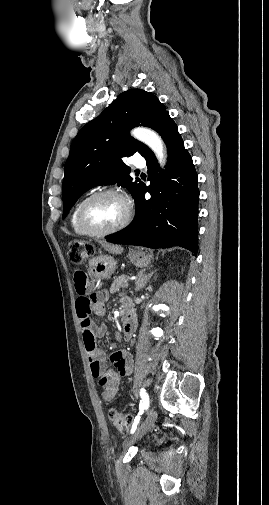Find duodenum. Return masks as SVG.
<instances>
[{
	"mask_svg": "<svg viewBox=\"0 0 269 505\" xmlns=\"http://www.w3.org/2000/svg\"><path fill=\"white\" fill-rule=\"evenodd\" d=\"M137 318L133 306L130 301L124 302V316L122 322L123 337L125 340H130L135 332Z\"/></svg>",
	"mask_w": 269,
	"mask_h": 505,
	"instance_id": "obj_1",
	"label": "duodenum"
}]
</instances>
